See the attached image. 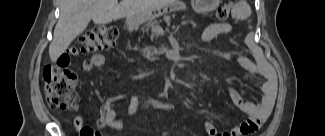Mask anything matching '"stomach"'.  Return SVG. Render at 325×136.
I'll return each instance as SVG.
<instances>
[{
	"instance_id": "obj_1",
	"label": "stomach",
	"mask_w": 325,
	"mask_h": 136,
	"mask_svg": "<svg viewBox=\"0 0 325 136\" xmlns=\"http://www.w3.org/2000/svg\"><path fill=\"white\" fill-rule=\"evenodd\" d=\"M219 2L220 0H193L192 6L196 12L205 13L215 9ZM179 4L180 2L178 1H169L168 5H163L162 8H156L149 12L129 18L128 23L131 27H136L141 23L159 17L160 15H169L170 12H180L181 6Z\"/></svg>"
}]
</instances>
